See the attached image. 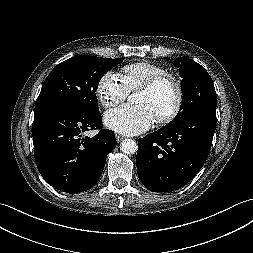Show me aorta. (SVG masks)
<instances>
[{"mask_svg":"<svg viewBox=\"0 0 253 253\" xmlns=\"http://www.w3.org/2000/svg\"><path fill=\"white\" fill-rule=\"evenodd\" d=\"M129 102H134V95L129 96ZM120 150L125 154H133L137 151V143L132 139H124L121 142Z\"/></svg>","mask_w":253,"mask_h":253,"instance_id":"762f6f07","label":"aorta"}]
</instances>
